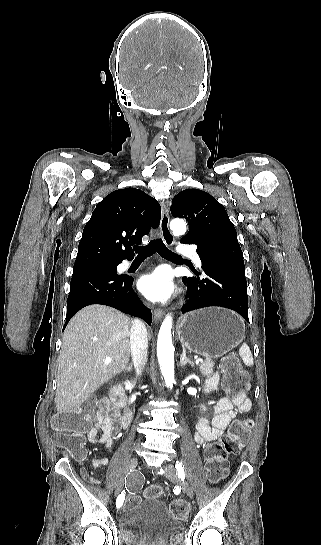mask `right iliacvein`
Listing matches in <instances>:
<instances>
[{"label": "right iliac vein", "mask_w": 321, "mask_h": 545, "mask_svg": "<svg viewBox=\"0 0 321 545\" xmlns=\"http://www.w3.org/2000/svg\"><path fill=\"white\" fill-rule=\"evenodd\" d=\"M137 464H138V459L136 457L131 458L127 465L126 473H128L129 471H133L136 468ZM124 483H125V480H124V477H122L116 487L115 496H118L121 493L124 487Z\"/></svg>", "instance_id": "right-iliac-vein-1"}]
</instances>
